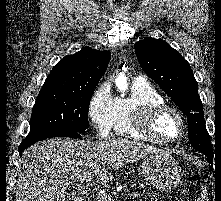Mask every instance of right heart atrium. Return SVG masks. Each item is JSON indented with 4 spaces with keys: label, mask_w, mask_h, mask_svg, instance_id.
<instances>
[{
    "label": "right heart atrium",
    "mask_w": 221,
    "mask_h": 201,
    "mask_svg": "<svg viewBox=\"0 0 221 201\" xmlns=\"http://www.w3.org/2000/svg\"><path fill=\"white\" fill-rule=\"evenodd\" d=\"M116 98L110 84H100L91 96L88 104V118L95 130L102 136H108L114 127Z\"/></svg>",
    "instance_id": "d8ad5b80"
}]
</instances>
